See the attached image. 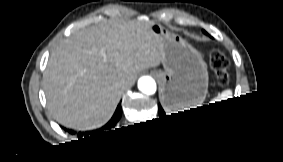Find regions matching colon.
I'll return each mask as SVG.
<instances>
[{
  "label": "colon",
  "mask_w": 283,
  "mask_h": 162,
  "mask_svg": "<svg viewBox=\"0 0 283 162\" xmlns=\"http://www.w3.org/2000/svg\"><path fill=\"white\" fill-rule=\"evenodd\" d=\"M213 63L214 65L217 67V68H222L220 70V78L221 79H226L228 74L226 72L225 69H223L224 65H225V60H224V57L221 56V55H215L214 58H213Z\"/></svg>",
  "instance_id": "1"
}]
</instances>
